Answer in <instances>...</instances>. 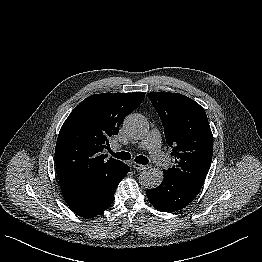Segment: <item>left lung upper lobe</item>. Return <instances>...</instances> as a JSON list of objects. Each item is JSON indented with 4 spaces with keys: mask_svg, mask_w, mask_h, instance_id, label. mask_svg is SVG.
I'll return each instance as SVG.
<instances>
[{
    "mask_svg": "<svg viewBox=\"0 0 262 262\" xmlns=\"http://www.w3.org/2000/svg\"><path fill=\"white\" fill-rule=\"evenodd\" d=\"M148 97L162 120L175 157L176 166L164 172L201 188L213 155V135L203 107L177 93L151 92Z\"/></svg>",
    "mask_w": 262,
    "mask_h": 262,
    "instance_id": "1",
    "label": "left lung upper lobe"
}]
</instances>
